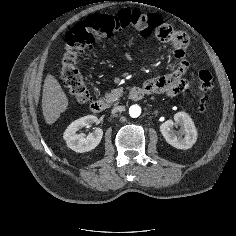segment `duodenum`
<instances>
[{
    "mask_svg": "<svg viewBox=\"0 0 236 236\" xmlns=\"http://www.w3.org/2000/svg\"><path fill=\"white\" fill-rule=\"evenodd\" d=\"M145 95V90L141 86H134L129 90V98L132 101L141 100ZM108 108V103L103 100H93L90 109L94 113H102Z\"/></svg>",
    "mask_w": 236,
    "mask_h": 236,
    "instance_id": "1",
    "label": "duodenum"
}]
</instances>
